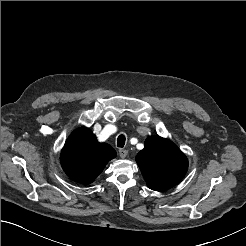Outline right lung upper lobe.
Here are the masks:
<instances>
[{
    "mask_svg": "<svg viewBox=\"0 0 246 246\" xmlns=\"http://www.w3.org/2000/svg\"><path fill=\"white\" fill-rule=\"evenodd\" d=\"M116 157V151L99 143L90 129H76L67 139L60 155L63 170L72 180L89 184Z\"/></svg>",
    "mask_w": 246,
    "mask_h": 246,
    "instance_id": "1",
    "label": "right lung upper lobe"
}]
</instances>
